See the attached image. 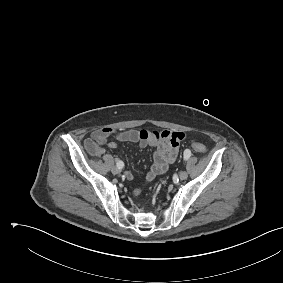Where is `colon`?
<instances>
[{
    "mask_svg": "<svg viewBox=\"0 0 283 283\" xmlns=\"http://www.w3.org/2000/svg\"><path fill=\"white\" fill-rule=\"evenodd\" d=\"M87 147H88L89 151L94 155L101 153V148H100L99 144L96 143L95 141H92V140L88 141ZM191 147L195 152H197L199 154L207 153V147L200 142L193 141L191 143Z\"/></svg>",
    "mask_w": 283,
    "mask_h": 283,
    "instance_id": "obj_1",
    "label": "colon"
}]
</instances>
